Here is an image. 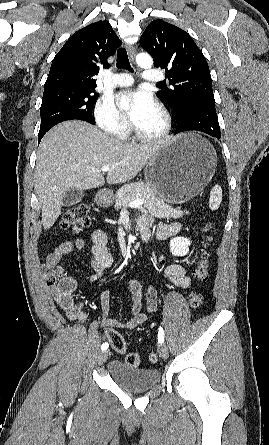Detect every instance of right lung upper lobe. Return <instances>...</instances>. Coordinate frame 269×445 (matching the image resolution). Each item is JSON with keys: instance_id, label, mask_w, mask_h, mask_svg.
I'll use <instances>...</instances> for the list:
<instances>
[{"instance_id": "obj_1", "label": "right lung upper lobe", "mask_w": 269, "mask_h": 445, "mask_svg": "<svg viewBox=\"0 0 269 445\" xmlns=\"http://www.w3.org/2000/svg\"><path fill=\"white\" fill-rule=\"evenodd\" d=\"M107 21H97L75 32L52 61L44 91L80 88L94 89L99 64L108 67L107 58L121 46Z\"/></svg>"}]
</instances>
